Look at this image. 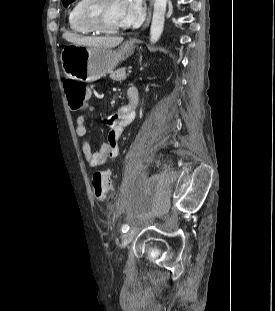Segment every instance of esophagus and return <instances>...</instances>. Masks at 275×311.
<instances>
[{"instance_id": "34e87169", "label": "esophagus", "mask_w": 275, "mask_h": 311, "mask_svg": "<svg viewBox=\"0 0 275 311\" xmlns=\"http://www.w3.org/2000/svg\"><path fill=\"white\" fill-rule=\"evenodd\" d=\"M152 5H153V2H151L150 9H149V12H148V16H147L146 22H145V24L143 26V29L147 28L149 23H150L151 16H152Z\"/></svg>"}]
</instances>
